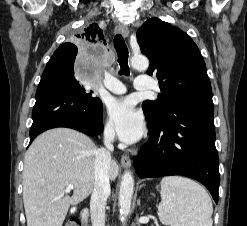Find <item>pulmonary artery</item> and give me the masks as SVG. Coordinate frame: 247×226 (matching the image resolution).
Listing matches in <instances>:
<instances>
[{"instance_id":"1","label":"pulmonary artery","mask_w":247,"mask_h":226,"mask_svg":"<svg viewBox=\"0 0 247 226\" xmlns=\"http://www.w3.org/2000/svg\"><path fill=\"white\" fill-rule=\"evenodd\" d=\"M104 86L107 90L114 94H124L127 90L125 85L120 80L112 76L106 77ZM134 87L137 90H149L153 88V84L148 76L140 75L136 78Z\"/></svg>"}]
</instances>
